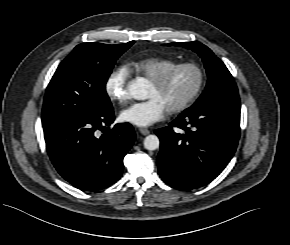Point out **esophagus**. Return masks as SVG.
Here are the masks:
<instances>
[{
    "mask_svg": "<svg viewBox=\"0 0 290 245\" xmlns=\"http://www.w3.org/2000/svg\"><path fill=\"white\" fill-rule=\"evenodd\" d=\"M139 132L142 134V135H148L150 133V131L146 128H139Z\"/></svg>",
    "mask_w": 290,
    "mask_h": 245,
    "instance_id": "34e87169",
    "label": "esophagus"
}]
</instances>
